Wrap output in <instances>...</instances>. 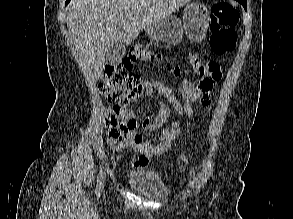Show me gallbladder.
<instances>
[{
	"instance_id": "gallbladder-1",
	"label": "gallbladder",
	"mask_w": 293,
	"mask_h": 219,
	"mask_svg": "<svg viewBox=\"0 0 293 219\" xmlns=\"http://www.w3.org/2000/svg\"><path fill=\"white\" fill-rule=\"evenodd\" d=\"M126 45L123 41L117 40L110 45L105 54L106 64L109 66L117 65L125 55Z\"/></svg>"
}]
</instances>
